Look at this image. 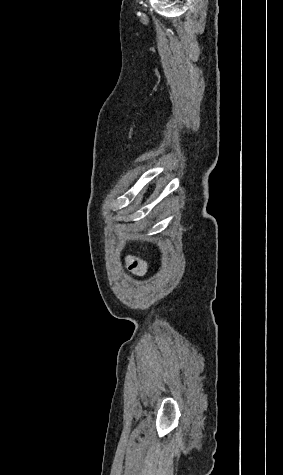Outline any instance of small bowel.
I'll return each instance as SVG.
<instances>
[{
  "label": "small bowel",
  "instance_id": "c3829d8e",
  "mask_svg": "<svg viewBox=\"0 0 283 475\" xmlns=\"http://www.w3.org/2000/svg\"><path fill=\"white\" fill-rule=\"evenodd\" d=\"M126 264L129 271L132 272L135 276L142 277L147 272V264L141 258L128 256L126 258Z\"/></svg>",
  "mask_w": 283,
  "mask_h": 475
}]
</instances>
